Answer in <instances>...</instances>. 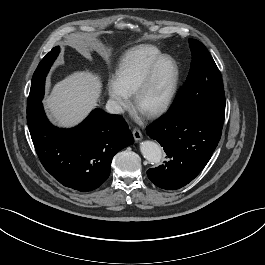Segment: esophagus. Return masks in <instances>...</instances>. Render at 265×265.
Returning <instances> with one entry per match:
<instances>
[{
    "mask_svg": "<svg viewBox=\"0 0 265 265\" xmlns=\"http://www.w3.org/2000/svg\"><path fill=\"white\" fill-rule=\"evenodd\" d=\"M133 137L135 139V141H140L142 139V133L138 128H134L133 131Z\"/></svg>",
    "mask_w": 265,
    "mask_h": 265,
    "instance_id": "esophagus-1",
    "label": "esophagus"
}]
</instances>
